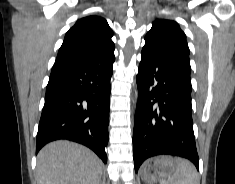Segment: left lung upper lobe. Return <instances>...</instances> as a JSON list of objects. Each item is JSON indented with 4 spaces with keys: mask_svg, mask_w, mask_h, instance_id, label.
Segmentation results:
<instances>
[{
    "mask_svg": "<svg viewBox=\"0 0 235 184\" xmlns=\"http://www.w3.org/2000/svg\"><path fill=\"white\" fill-rule=\"evenodd\" d=\"M146 44H154L164 52L174 56L190 73V50L186 41V35L180 29L178 23L156 19L151 30L145 36Z\"/></svg>",
    "mask_w": 235,
    "mask_h": 184,
    "instance_id": "1",
    "label": "left lung upper lobe"
}]
</instances>
